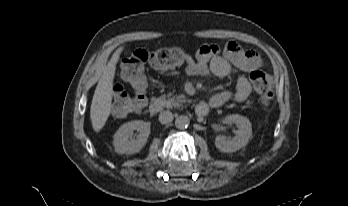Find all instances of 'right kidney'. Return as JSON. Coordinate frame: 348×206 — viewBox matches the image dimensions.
<instances>
[{
	"mask_svg": "<svg viewBox=\"0 0 348 206\" xmlns=\"http://www.w3.org/2000/svg\"><path fill=\"white\" fill-rule=\"evenodd\" d=\"M137 131L136 139L132 137ZM150 134V123L141 120L127 122L120 126L113 137L115 151L119 154H134L146 144Z\"/></svg>",
	"mask_w": 348,
	"mask_h": 206,
	"instance_id": "ca27d5eb",
	"label": "right kidney"
}]
</instances>
